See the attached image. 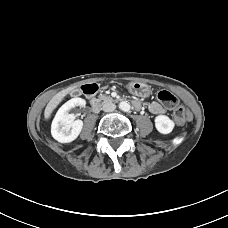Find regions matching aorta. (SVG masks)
Listing matches in <instances>:
<instances>
[{"instance_id": "1", "label": "aorta", "mask_w": 228, "mask_h": 228, "mask_svg": "<svg viewBox=\"0 0 228 228\" xmlns=\"http://www.w3.org/2000/svg\"><path fill=\"white\" fill-rule=\"evenodd\" d=\"M119 107H120V109H121L122 111H125V112L129 111L130 108H131L130 103H129V102H126V101L121 102V103L119 104Z\"/></svg>"}]
</instances>
